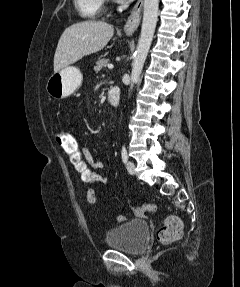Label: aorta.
I'll return each mask as SVG.
<instances>
[{"instance_id": "762f6f07", "label": "aorta", "mask_w": 240, "mask_h": 287, "mask_svg": "<svg viewBox=\"0 0 240 287\" xmlns=\"http://www.w3.org/2000/svg\"><path fill=\"white\" fill-rule=\"evenodd\" d=\"M159 0H144V12L141 34L132 64L130 89L138 81L145 60L147 58L158 17Z\"/></svg>"}]
</instances>
